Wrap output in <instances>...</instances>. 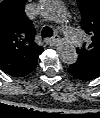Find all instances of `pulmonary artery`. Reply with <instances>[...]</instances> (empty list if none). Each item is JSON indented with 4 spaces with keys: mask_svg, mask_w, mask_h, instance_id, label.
Here are the masks:
<instances>
[{
    "mask_svg": "<svg viewBox=\"0 0 100 118\" xmlns=\"http://www.w3.org/2000/svg\"><path fill=\"white\" fill-rule=\"evenodd\" d=\"M64 35L73 45H79L82 41V35L78 31L68 28L64 31Z\"/></svg>",
    "mask_w": 100,
    "mask_h": 118,
    "instance_id": "1",
    "label": "pulmonary artery"
}]
</instances>
